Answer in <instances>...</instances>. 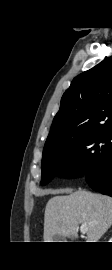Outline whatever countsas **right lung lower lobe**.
<instances>
[{
	"mask_svg": "<svg viewBox=\"0 0 112 270\" xmlns=\"http://www.w3.org/2000/svg\"><path fill=\"white\" fill-rule=\"evenodd\" d=\"M85 176L92 189L112 197V148L107 152L99 169L89 171Z\"/></svg>",
	"mask_w": 112,
	"mask_h": 270,
	"instance_id": "obj_1",
	"label": "right lung lower lobe"
}]
</instances>
